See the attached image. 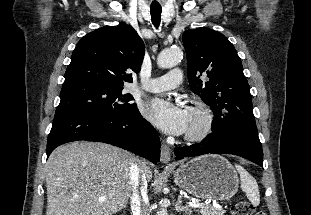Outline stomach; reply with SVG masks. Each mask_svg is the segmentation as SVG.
<instances>
[{"label": "stomach", "mask_w": 311, "mask_h": 215, "mask_svg": "<svg viewBox=\"0 0 311 215\" xmlns=\"http://www.w3.org/2000/svg\"><path fill=\"white\" fill-rule=\"evenodd\" d=\"M174 178L180 188L199 199L228 200L239 187L236 170L220 155L193 158L176 169Z\"/></svg>", "instance_id": "1"}]
</instances>
